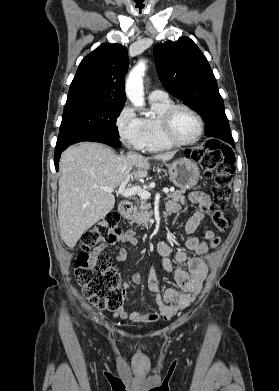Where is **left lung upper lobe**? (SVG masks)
Masks as SVG:
<instances>
[{
	"label": "left lung upper lobe",
	"mask_w": 279,
	"mask_h": 391,
	"mask_svg": "<svg viewBox=\"0 0 279 391\" xmlns=\"http://www.w3.org/2000/svg\"><path fill=\"white\" fill-rule=\"evenodd\" d=\"M153 52L163 86L203 118L205 135L232 139L215 76L196 44L182 37L155 45Z\"/></svg>",
	"instance_id": "5c2ea615"
}]
</instances>
